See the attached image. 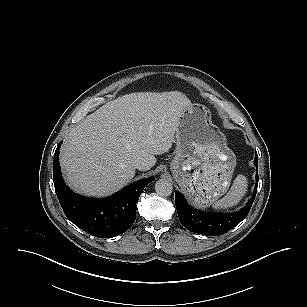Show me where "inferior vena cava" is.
I'll use <instances>...</instances> for the list:
<instances>
[{
  "label": "inferior vena cava",
  "instance_id": "602c4592",
  "mask_svg": "<svg viewBox=\"0 0 307 307\" xmlns=\"http://www.w3.org/2000/svg\"><path fill=\"white\" fill-rule=\"evenodd\" d=\"M133 166H134L136 169H138V170H144V169H146V166H145V164H144L143 161H135L134 164H133Z\"/></svg>",
  "mask_w": 307,
  "mask_h": 307
}]
</instances>
